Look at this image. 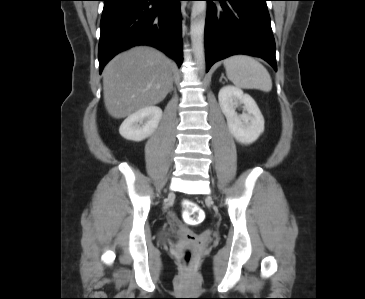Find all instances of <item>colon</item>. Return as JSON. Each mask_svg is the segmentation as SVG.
Returning a JSON list of instances; mask_svg holds the SVG:
<instances>
[{
  "instance_id": "1",
  "label": "colon",
  "mask_w": 365,
  "mask_h": 299,
  "mask_svg": "<svg viewBox=\"0 0 365 299\" xmlns=\"http://www.w3.org/2000/svg\"><path fill=\"white\" fill-rule=\"evenodd\" d=\"M183 208V217L187 224L197 225L204 220L205 215L195 202L187 200L183 203ZM182 259L185 266H190L193 259L191 251L185 249L182 253Z\"/></svg>"
}]
</instances>
